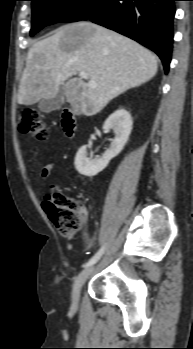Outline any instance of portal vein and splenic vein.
<instances>
[{
    "mask_svg": "<svg viewBox=\"0 0 193 349\" xmlns=\"http://www.w3.org/2000/svg\"><path fill=\"white\" fill-rule=\"evenodd\" d=\"M79 76L82 78V79H85V80H88V75L85 73V72H80L79 73ZM87 85L90 87V88H96V83L94 81H91L89 80Z\"/></svg>",
    "mask_w": 193,
    "mask_h": 349,
    "instance_id": "portal-vein-and-splenic-vein-1",
    "label": "portal vein and splenic vein"
}]
</instances>
